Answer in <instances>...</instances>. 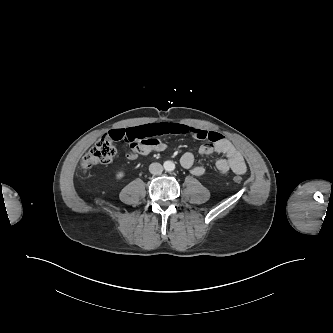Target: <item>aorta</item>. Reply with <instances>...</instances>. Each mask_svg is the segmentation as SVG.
I'll list each match as a JSON object with an SVG mask.
<instances>
[{"instance_id":"aorta-1","label":"aorta","mask_w":333,"mask_h":333,"mask_svg":"<svg viewBox=\"0 0 333 333\" xmlns=\"http://www.w3.org/2000/svg\"><path fill=\"white\" fill-rule=\"evenodd\" d=\"M164 168L168 172L173 171L175 169V164L173 161H165Z\"/></svg>"}]
</instances>
